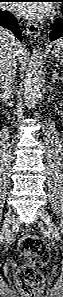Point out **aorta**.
Segmentation results:
<instances>
[{
	"mask_svg": "<svg viewBox=\"0 0 63 297\" xmlns=\"http://www.w3.org/2000/svg\"><path fill=\"white\" fill-rule=\"evenodd\" d=\"M41 49H34L29 58L24 81V100L28 108H34L40 97L43 57Z\"/></svg>",
	"mask_w": 63,
	"mask_h": 297,
	"instance_id": "aorta-1",
	"label": "aorta"
}]
</instances>
